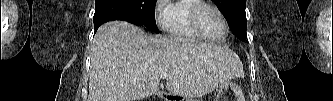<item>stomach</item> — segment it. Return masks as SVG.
I'll list each match as a JSON object with an SVG mask.
<instances>
[{
	"label": "stomach",
	"mask_w": 333,
	"mask_h": 101,
	"mask_svg": "<svg viewBox=\"0 0 333 101\" xmlns=\"http://www.w3.org/2000/svg\"><path fill=\"white\" fill-rule=\"evenodd\" d=\"M181 101H189L188 99ZM214 101H246L243 91L236 83L229 81L218 87V94Z\"/></svg>",
	"instance_id": "0dacf381"
}]
</instances>
